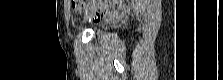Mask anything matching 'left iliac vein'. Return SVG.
<instances>
[{
	"mask_svg": "<svg viewBox=\"0 0 223 80\" xmlns=\"http://www.w3.org/2000/svg\"><path fill=\"white\" fill-rule=\"evenodd\" d=\"M99 7V1H97L94 4H91L88 6L87 11L89 12V14H93Z\"/></svg>",
	"mask_w": 223,
	"mask_h": 80,
	"instance_id": "1",
	"label": "left iliac vein"
}]
</instances>
